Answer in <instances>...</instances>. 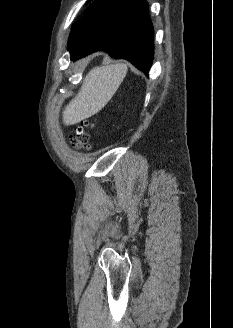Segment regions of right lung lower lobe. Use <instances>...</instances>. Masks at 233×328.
<instances>
[{
    "mask_svg": "<svg viewBox=\"0 0 233 328\" xmlns=\"http://www.w3.org/2000/svg\"><path fill=\"white\" fill-rule=\"evenodd\" d=\"M71 60L95 51L130 61L147 74L154 55L153 26L145 0H95L73 25L68 43Z\"/></svg>",
    "mask_w": 233,
    "mask_h": 328,
    "instance_id": "1",
    "label": "right lung lower lobe"
}]
</instances>
